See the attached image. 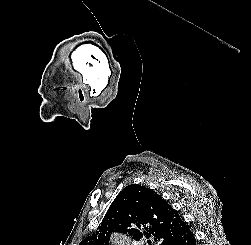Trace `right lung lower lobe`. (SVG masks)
<instances>
[{
  "mask_svg": "<svg viewBox=\"0 0 251 245\" xmlns=\"http://www.w3.org/2000/svg\"><path fill=\"white\" fill-rule=\"evenodd\" d=\"M165 245H196V240L188 227L178 237L168 241Z\"/></svg>",
  "mask_w": 251,
  "mask_h": 245,
  "instance_id": "1",
  "label": "right lung lower lobe"
}]
</instances>
